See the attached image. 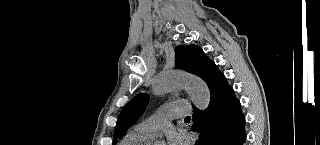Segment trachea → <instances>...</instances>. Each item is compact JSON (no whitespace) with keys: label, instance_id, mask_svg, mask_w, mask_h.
Listing matches in <instances>:
<instances>
[{"label":"trachea","instance_id":"trachea-1","mask_svg":"<svg viewBox=\"0 0 320 145\" xmlns=\"http://www.w3.org/2000/svg\"><path fill=\"white\" fill-rule=\"evenodd\" d=\"M185 119H190V116H187Z\"/></svg>","mask_w":320,"mask_h":145}]
</instances>
